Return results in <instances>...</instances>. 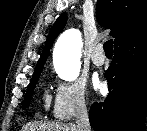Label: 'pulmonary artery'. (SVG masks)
Here are the masks:
<instances>
[{"label":"pulmonary artery","mask_w":147,"mask_h":131,"mask_svg":"<svg viewBox=\"0 0 147 131\" xmlns=\"http://www.w3.org/2000/svg\"><path fill=\"white\" fill-rule=\"evenodd\" d=\"M91 60L96 66H102L105 62V56L103 54V45L98 44L95 46L92 55Z\"/></svg>","instance_id":"e3ab8cb5"}]
</instances>
